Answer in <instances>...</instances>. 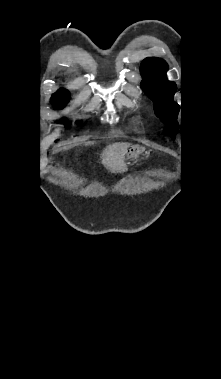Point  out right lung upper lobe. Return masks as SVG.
<instances>
[{
    "label": "right lung upper lobe",
    "instance_id": "obj_1",
    "mask_svg": "<svg viewBox=\"0 0 221 379\" xmlns=\"http://www.w3.org/2000/svg\"><path fill=\"white\" fill-rule=\"evenodd\" d=\"M69 96L70 94L67 90L60 89L52 95V103H67Z\"/></svg>",
    "mask_w": 221,
    "mask_h": 379
}]
</instances>
